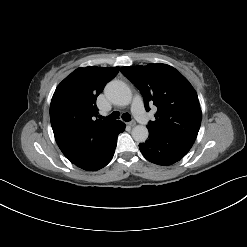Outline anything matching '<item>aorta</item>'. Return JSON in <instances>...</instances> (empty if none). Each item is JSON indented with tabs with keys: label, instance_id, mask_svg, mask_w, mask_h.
I'll return each instance as SVG.
<instances>
[{
	"label": "aorta",
	"instance_id": "obj_1",
	"mask_svg": "<svg viewBox=\"0 0 247 247\" xmlns=\"http://www.w3.org/2000/svg\"><path fill=\"white\" fill-rule=\"evenodd\" d=\"M106 97L115 105L127 106L132 101V92L123 81L113 80L105 87ZM149 136L146 126L137 125L132 129V137L136 142H145Z\"/></svg>",
	"mask_w": 247,
	"mask_h": 247
}]
</instances>
